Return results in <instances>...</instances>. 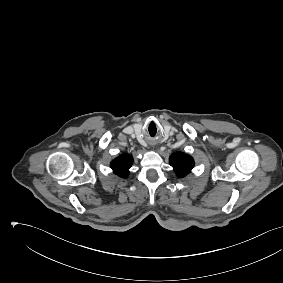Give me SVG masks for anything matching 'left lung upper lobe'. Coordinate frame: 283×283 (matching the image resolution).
Listing matches in <instances>:
<instances>
[{
    "instance_id": "1",
    "label": "left lung upper lobe",
    "mask_w": 283,
    "mask_h": 283,
    "mask_svg": "<svg viewBox=\"0 0 283 283\" xmlns=\"http://www.w3.org/2000/svg\"><path fill=\"white\" fill-rule=\"evenodd\" d=\"M169 163L178 177H185L194 167L193 158L183 152L173 153L169 158Z\"/></svg>"
}]
</instances>
